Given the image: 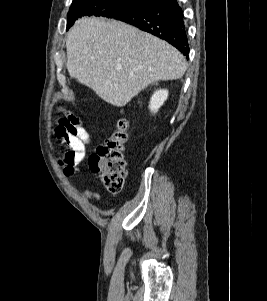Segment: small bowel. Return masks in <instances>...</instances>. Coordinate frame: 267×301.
Instances as JSON below:
<instances>
[{"label": "small bowel", "mask_w": 267, "mask_h": 301, "mask_svg": "<svg viewBox=\"0 0 267 301\" xmlns=\"http://www.w3.org/2000/svg\"><path fill=\"white\" fill-rule=\"evenodd\" d=\"M65 114V117L56 126L54 133L67 148L61 164L64 174L70 176L76 172L77 165L84 159L85 147L90 143V134L75 115L69 112ZM83 196L86 199H93L95 202H99L101 198L99 192L92 190H85Z\"/></svg>", "instance_id": "c3829d8e"}]
</instances>
